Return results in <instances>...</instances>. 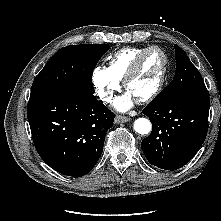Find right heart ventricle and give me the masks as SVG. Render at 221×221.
I'll return each instance as SVG.
<instances>
[{"label":"right heart ventricle","instance_id":"e07e8e85","mask_svg":"<svg viewBox=\"0 0 221 221\" xmlns=\"http://www.w3.org/2000/svg\"><path fill=\"white\" fill-rule=\"evenodd\" d=\"M146 48L128 47L115 52L109 60V71L119 80H123L134 59Z\"/></svg>","mask_w":221,"mask_h":221}]
</instances>
